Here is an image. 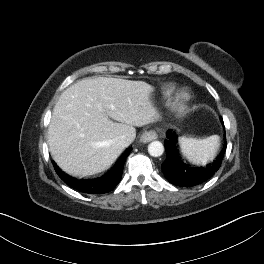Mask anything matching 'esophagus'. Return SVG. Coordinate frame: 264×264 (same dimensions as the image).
<instances>
[{"mask_svg": "<svg viewBox=\"0 0 264 264\" xmlns=\"http://www.w3.org/2000/svg\"><path fill=\"white\" fill-rule=\"evenodd\" d=\"M158 135L154 130H150V131H145L142 133L141 137H140V141L142 143H148L152 140L157 139Z\"/></svg>", "mask_w": 264, "mask_h": 264, "instance_id": "1", "label": "esophagus"}]
</instances>
